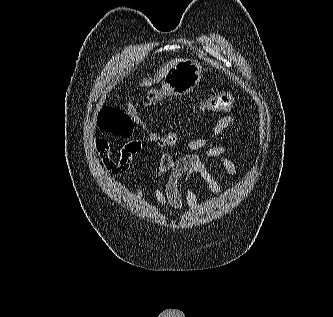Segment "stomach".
I'll use <instances>...</instances> for the list:
<instances>
[{
	"instance_id": "stomach-1",
	"label": "stomach",
	"mask_w": 333,
	"mask_h": 317,
	"mask_svg": "<svg viewBox=\"0 0 333 317\" xmlns=\"http://www.w3.org/2000/svg\"><path fill=\"white\" fill-rule=\"evenodd\" d=\"M201 72L202 67L198 62L189 59L181 60L165 76L161 91L150 89L147 99L155 104L164 95H187L199 83Z\"/></svg>"
}]
</instances>
